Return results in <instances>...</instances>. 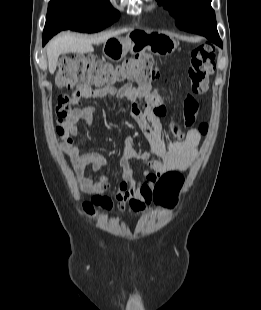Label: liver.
<instances>
[{"label":"liver","instance_id":"liver-1","mask_svg":"<svg viewBox=\"0 0 261 310\" xmlns=\"http://www.w3.org/2000/svg\"><path fill=\"white\" fill-rule=\"evenodd\" d=\"M133 29H121L115 32L105 33L98 37L76 36L65 33L53 38L47 46L48 70L53 74L57 67L58 58L64 53H90L94 51L93 44L106 42L118 35L131 32Z\"/></svg>","mask_w":261,"mask_h":310}]
</instances>
